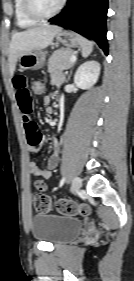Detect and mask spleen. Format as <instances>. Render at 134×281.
Segmentation results:
<instances>
[{"label": "spleen", "instance_id": "obj_1", "mask_svg": "<svg viewBox=\"0 0 134 281\" xmlns=\"http://www.w3.org/2000/svg\"><path fill=\"white\" fill-rule=\"evenodd\" d=\"M79 44L81 47L83 57H87L93 51V42L84 37H80Z\"/></svg>", "mask_w": 134, "mask_h": 281}]
</instances>
